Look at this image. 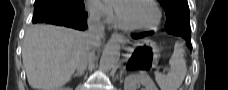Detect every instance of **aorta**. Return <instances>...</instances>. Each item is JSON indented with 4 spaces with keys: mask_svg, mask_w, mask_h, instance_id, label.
I'll use <instances>...</instances> for the list:
<instances>
[{
    "mask_svg": "<svg viewBox=\"0 0 228 90\" xmlns=\"http://www.w3.org/2000/svg\"><path fill=\"white\" fill-rule=\"evenodd\" d=\"M120 58V45L112 38L106 45L100 59V68L104 71L111 70L118 63Z\"/></svg>",
    "mask_w": 228,
    "mask_h": 90,
    "instance_id": "762f6f07",
    "label": "aorta"
}]
</instances>
